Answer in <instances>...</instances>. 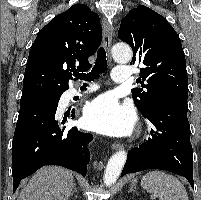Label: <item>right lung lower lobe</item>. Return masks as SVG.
<instances>
[{
  "instance_id": "98d812e1",
  "label": "right lung lower lobe",
  "mask_w": 201,
  "mask_h": 200,
  "mask_svg": "<svg viewBox=\"0 0 201 200\" xmlns=\"http://www.w3.org/2000/svg\"><path fill=\"white\" fill-rule=\"evenodd\" d=\"M57 106L58 101L51 100L20 107L12 142L13 192L44 165L63 166L85 177L92 136L76 127H61L55 118Z\"/></svg>"
}]
</instances>
